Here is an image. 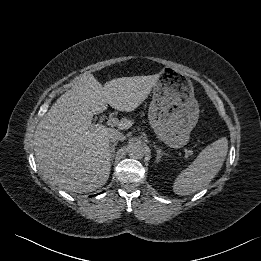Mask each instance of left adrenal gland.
Masks as SVG:
<instances>
[{"mask_svg": "<svg viewBox=\"0 0 261 261\" xmlns=\"http://www.w3.org/2000/svg\"><path fill=\"white\" fill-rule=\"evenodd\" d=\"M154 148L156 149V152H157L156 161L159 162L160 159H161V157H162L163 155H166V153L163 152V151L161 150V148L158 147V146H156V145L154 146Z\"/></svg>", "mask_w": 261, "mask_h": 261, "instance_id": "1", "label": "left adrenal gland"}]
</instances>
